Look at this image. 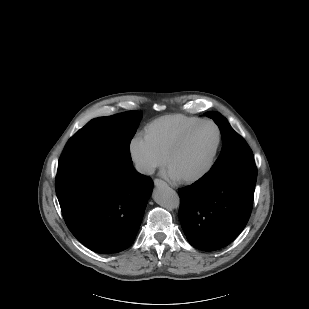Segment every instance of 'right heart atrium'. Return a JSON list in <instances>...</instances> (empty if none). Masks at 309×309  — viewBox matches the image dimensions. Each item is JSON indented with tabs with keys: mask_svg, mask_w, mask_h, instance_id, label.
<instances>
[{
	"mask_svg": "<svg viewBox=\"0 0 309 309\" xmlns=\"http://www.w3.org/2000/svg\"><path fill=\"white\" fill-rule=\"evenodd\" d=\"M128 151L135 169L141 174L153 173L164 162V158L141 134L130 140Z\"/></svg>",
	"mask_w": 309,
	"mask_h": 309,
	"instance_id": "right-heart-atrium-1",
	"label": "right heart atrium"
}]
</instances>
